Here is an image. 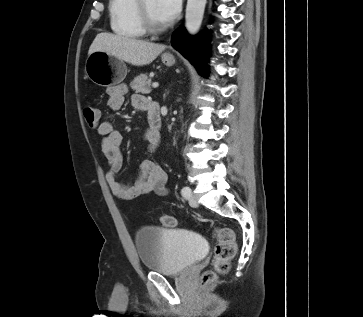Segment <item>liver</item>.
I'll return each mask as SVG.
<instances>
[{"instance_id":"1","label":"liver","mask_w":363,"mask_h":317,"mask_svg":"<svg viewBox=\"0 0 363 317\" xmlns=\"http://www.w3.org/2000/svg\"><path fill=\"white\" fill-rule=\"evenodd\" d=\"M165 47L162 44L102 32L95 37L88 55L96 51H104L129 64L143 66L156 59Z\"/></svg>"}]
</instances>
